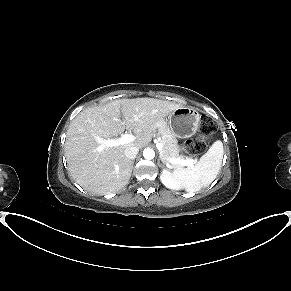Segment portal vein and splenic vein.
I'll return each mask as SVG.
<instances>
[{
	"label": "portal vein and splenic vein",
	"instance_id": "1",
	"mask_svg": "<svg viewBox=\"0 0 291 291\" xmlns=\"http://www.w3.org/2000/svg\"><path fill=\"white\" fill-rule=\"evenodd\" d=\"M95 139L97 142L101 143L103 147H113V146H119V145L130 143L135 139V136L132 134H124L120 138H116V139L104 140L99 137H96ZM156 147L159 151H161L163 149V144L161 142H158L156 144ZM170 162L179 163L182 166L193 167L195 160L194 159L181 160L178 158V159H171Z\"/></svg>",
	"mask_w": 291,
	"mask_h": 291
}]
</instances>
